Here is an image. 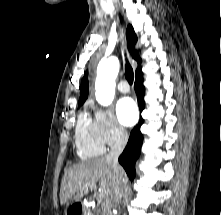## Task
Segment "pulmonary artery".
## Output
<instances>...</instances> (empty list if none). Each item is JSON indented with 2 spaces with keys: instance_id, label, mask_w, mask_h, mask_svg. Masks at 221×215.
Listing matches in <instances>:
<instances>
[{
  "instance_id": "pulmonary-artery-1",
  "label": "pulmonary artery",
  "mask_w": 221,
  "mask_h": 215,
  "mask_svg": "<svg viewBox=\"0 0 221 215\" xmlns=\"http://www.w3.org/2000/svg\"><path fill=\"white\" fill-rule=\"evenodd\" d=\"M117 88L122 93H128L130 91V87L125 80L120 81Z\"/></svg>"
}]
</instances>
